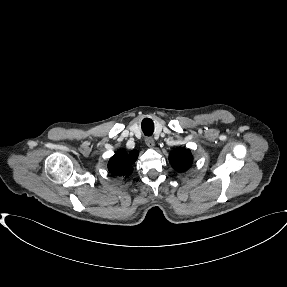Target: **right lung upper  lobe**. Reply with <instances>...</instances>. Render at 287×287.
<instances>
[{
  "instance_id": "cb5924a9",
  "label": "right lung upper lobe",
  "mask_w": 287,
  "mask_h": 287,
  "mask_svg": "<svg viewBox=\"0 0 287 287\" xmlns=\"http://www.w3.org/2000/svg\"><path fill=\"white\" fill-rule=\"evenodd\" d=\"M138 156V152L133 150L129 154L124 150H118L114 156H112L108 163V170L115 176H128L133 171V163Z\"/></svg>"
}]
</instances>
